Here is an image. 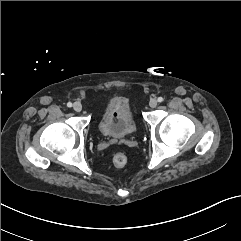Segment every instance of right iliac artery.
<instances>
[{
	"label": "right iliac artery",
	"instance_id": "1",
	"mask_svg": "<svg viewBox=\"0 0 241 241\" xmlns=\"http://www.w3.org/2000/svg\"><path fill=\"white\" fill-rule=\"evenodd\" d=\"M67 106H68V107H72V103H71V102H68V103H67Z\"/></svg>",
	"mask_w": 241,
	"mask_h": 241
}]
</instances>
